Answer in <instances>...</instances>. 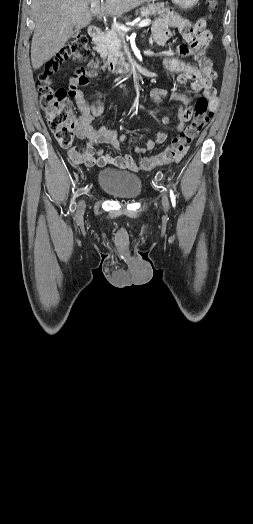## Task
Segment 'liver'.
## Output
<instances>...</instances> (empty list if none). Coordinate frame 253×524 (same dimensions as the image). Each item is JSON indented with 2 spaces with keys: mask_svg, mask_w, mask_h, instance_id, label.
Wrapping results in <instances>:
<instances>
[{
  "mask_svg": "<svg viewBox=\"0 0 253 524\" xmlns=\"http://www.w3.org/2000/svg\"><path fill=\"white\" fill-rule=\"evenodd\" d=\"M148 0H106L97 9L89 8L100 0H33L35 30L31 43V62L39 69L55 56L73 36L74 28H84L92 16H122Z\"/></svg>",
  "mask_w": 253,
  "mask_h": 524,
  "instance_id": "obj_1",
  "label": "liver"
}]
</instances>
